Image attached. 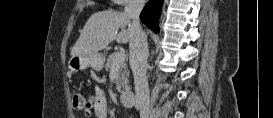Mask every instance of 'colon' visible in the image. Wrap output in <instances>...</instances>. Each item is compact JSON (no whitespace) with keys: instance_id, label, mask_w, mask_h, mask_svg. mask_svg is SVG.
Segmentation results:
<instances>
[{"instance_id":"1","label":"colon","mask_w":273,"mask_h":118,"mask_svg":"<svg viewBox=\"0 0 273 118\" xmlns=\"http://www.w3.org/2000/svg\"><path fill=\"white\" fill-rule=\"evenodd\" d=\"M72 105L75 110L84 111L86 113L88 109V103L81 94H75L72 98Z\"/></svg>"}]
</instances>
